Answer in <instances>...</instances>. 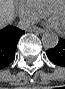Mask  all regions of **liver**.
Listing matches in <instances>:
<instances>
[{
	"instance_id": "liver-1",
	"label": "liver",
	"mask_w": 65,
	"mask_h": 89,
	"mask_svg": "<svg viewBox=\"0 0 65 89\" xmlns=\"http://www.w3.org/2000/svg\"><path fill=\"white\" fill-rule=\"evenodd\" d=\"M14 17V6L10 0L0 1V23L4 25L10 22Z\"/></svg>"
}]
</instances>
